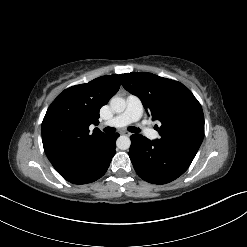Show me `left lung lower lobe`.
<instances>
[{
    "instance_id": "1",
    "label": "left lung lower lobe",
    "mask_w": 247,
    "mask_h": 247,
    "mask_svg": "<svg viewBox=\"0 0 247 247\" xmlns=\"http://www.w3.org/2000/svg\"><path fill=\"white\" fill-rule=\"evenodd\" d=\"M130 139L129 157L132 164L139 177L149 183L165 184L175 180L194 159L139 134L132 135Z\"/></svg>"
}]
</instances>
